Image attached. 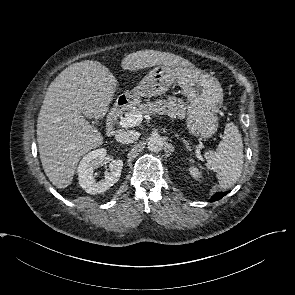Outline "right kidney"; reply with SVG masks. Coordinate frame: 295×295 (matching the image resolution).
Here are the masks:
<instances>
[{"mask_svg": "<svg viewBox=\"0 0 295 295\" xmlns=\"http://www.w3.org/2000/svg\"><path fill=\"white\" fill-rule=\"evenodd\" d=\"M106 154V149H96L85 155L79 163L77 169L79 184L89 194H98L108 190L120 178L123 162L115 159L110 162V171L105 173L104 179L100 181L94 179V168L106 163Z\"/></svg>", "mask_w": 295, "mask_h": 295, "instance_id": "ca27d5eb", "label": "right kidney"}]
</instances>
